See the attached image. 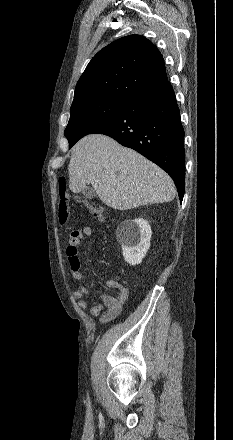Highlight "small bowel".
Listing matches in <instances>:
<instances>
[{"label":"small bowel","instance_id":"small-bowel-1","mask_svg":"<svg viewBox=\"0 0 233 440\" xmlns=\"http://www.w3.org/2000/svg\"><path fill=\"white\" fill-rule=\"evenodd\" d=\"M92 234V228L89 226H83L74 230L70 235L69 243L66 248L72 276L78 281L85 279L81 271V262L78 256L79 246L84 238L91 237ZM105 286L117 289L118 296H112L106 292H102L100 294L101 302L91 306L89 311L90 316L93 318L100 316L101 323H107L117 318L121 314L123 305L129 297V288L116 280L110 279L105 281ZM73 296L78 301L79 308L86 310L88 307V290L85 287H81L73 293Z\"/></svg>","mask_w":233,"mask_h":440}]
</instances>
